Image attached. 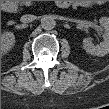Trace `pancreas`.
Listing matches in <instances>:
<instances>
[{
	"label": "pancreas",
	"instance_id": "cf45deb5",
	"mask_svg": "<svg viewBox=\"0 0 109 109\" xmlns=\"http://www.w3.org/2000/svg\"><path fill=\"white\" fill-rule=\"evenodd\" d=\"M21 4L30 6L32 4V2H30V1H23V2H21Z\"/></svg>",
	"mask_w": 109,
	"mask_h": 109
}]
</instances>
